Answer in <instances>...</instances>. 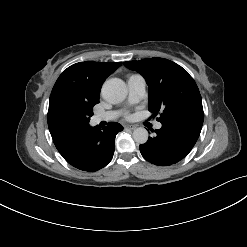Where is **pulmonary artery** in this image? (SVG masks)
Instances as JSON below:
<instances>
[{
    "mask_svg": "<svg viewBox=\"0 0 247 247\" xmlns=\"http://www.w3.org/2000/svg\"><path fill=\"white\" fill-rule=\"evenodd\" d=\"M128 101L129 103H137L139 102L144 96L146 91V81L141 75H132L128 78ZM115 112H104L99 113L94 116V120L96 122H100L103 120H111L115 118ZM162 127L161 123H156L155 128L160 129Z\"/></svg>",
    "mask_w": 247,
    "mask_h": 247,
    "instance_id": "obj_1",
    "label": "pulmonary artery"
}]
</instances>
